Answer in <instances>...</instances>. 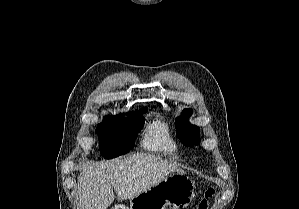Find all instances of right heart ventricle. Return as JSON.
I'll list each match as a JSON object with an SVG mask.
<instances>
[{"label":"right heart ventricle","instance_id":"right-heart-ventricle-1","mask_svg":"<svg viewBox=\"0 0 299 209\" xmlns=\"http://www.w3.org/2000/svg\"><path fill=\"white\" fill-rule=\"evenodd\" d=\"M143 146L151 151L168 156H177V145L167 126L161 122L151 124L144 135Z\"/></svg>","mask_w":299,"mask_h":209}]
</instances>
